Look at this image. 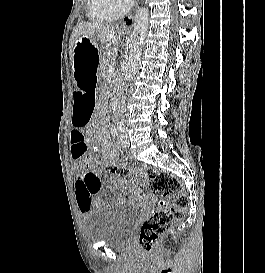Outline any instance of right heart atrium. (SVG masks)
Segmentation results:
<instances>
[{
    "instance_id": "1",
    "label": "right heart atrium",
    "mask_w": 265,
    "mask_h": 273,
    "mask_svg": "<svg viewBox=\"0 0 265 273\" xmlns=\"http://www.w3.org/2000/svg\"><path fill=\"white\" fill-rule=\"evenodd\" d=\"M132 0H108L109 5L118 12L125 11Z\"/></svg>"
}]
</instances>
